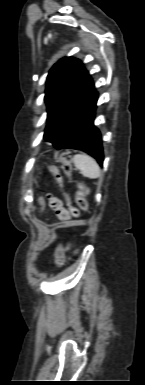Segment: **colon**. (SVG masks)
<instances>
[{
  "label": "colon",
  "mask_w": 145,
  "mask_h": 385,
  "mask_svg": "<svg viewBox=\"0 0 145 385\" xmlns=\"http://www.w3.org/2000/svg\"><path fill=\"white\" fill-rule=\"evenodd\" d=\"M59 162L62 165V170L69 179L72 178V165H71V157L68 153H62L59 156ZM49 173L54 178L59 190L61 191L62 195L64 196L67 206L72 213L73 216L77 217L80 214V211L87 212L88 211V201H87V195H88V189L87 187L81 183H77V192L75 195V202L78 206V208L74 207L71 204V197L69 194L64 190V177L62 173L59 171V169L55 166L50 165L48 167Z\"/></svg>",
  "instance_id": "1"
}]
</instances>
